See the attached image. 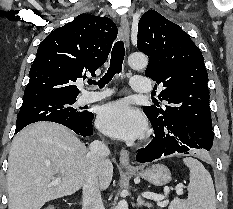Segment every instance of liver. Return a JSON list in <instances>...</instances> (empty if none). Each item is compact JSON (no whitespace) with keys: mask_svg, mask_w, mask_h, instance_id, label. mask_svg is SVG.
Instances as JSON below:
<instances>
[{"mask_svg":"<svg viewBox=\"0 0 233 209\" xmlns=\"http://www.w3.org/2000/svg\"><path fill=\"white\" fill-rule=\"evenodd\" d=\"M86 146L66 127L39 122L25 127L13 139L9 153L8 209H41L51 200L73 195L85 182L90 163ZM100 190L113 176L110 160L96 169ZM60 178V183L51 185Z\"/></svg>","mask_w":233,"mask_h":209,"instance_id":"obj_1","label":"liver"}]
</instances>
